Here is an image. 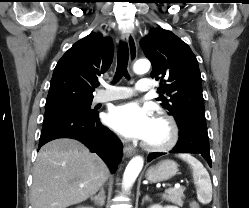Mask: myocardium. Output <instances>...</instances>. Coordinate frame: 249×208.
<instances>
[{"label":"myocardium","mask_w":249,"mask_h":208,"mask_svg":"<svg viewBox=\"0 0 249 208\" xmlns=\"http://www.w3.org/2000/svg\"><path fill=\"white\" fill-rule=\"evenodd\" d=\"M155 120L166 125L168 129V137L162 143L146 142L144 147L150 151H165L171 149L179 139V128L175 119L167 114L159 113L156 115Z\"/></svg>","instance_id":"obj_1"}]
</instances>
